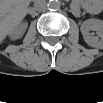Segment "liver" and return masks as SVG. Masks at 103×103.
Wrapping results in <instances>:
<instances>
[{"mask_svg":"<svg viewBox=\"0 0 103 103\" xmlns=\"http://www.w3.org/2000/svg\"><path fill=\"white\" fill-rule=\"evenodd\" d=\"M29 1L6 0L1 2L0 38L11 34L27 14Z\"/></svg>","mask_w":103,"mask_h":103,"instance_id":"6515ba94","label":"liver"}]
</instances>
